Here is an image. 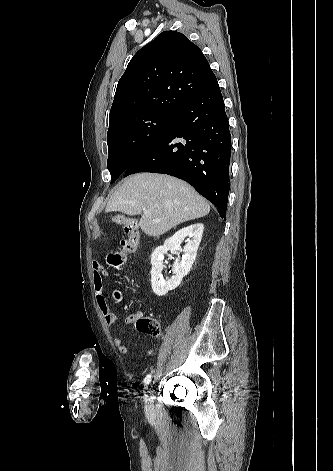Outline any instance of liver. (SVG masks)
I'll return each instance as SVG.
<instances>
[{
    "mask_svg": "<svg viewBox=\"0 0 333 471\" xmlns=\"http://www.w3.org/2000/svg\"><path fill=\"white\" fill-rule=\"evenodd\" d=\"M105 211L141 214V230L156 237L183 222L206 216L210 205L185 181L166 174L139 173L115 190Z\"/></svg>",
    "mask_w": 333,
    "mask_h": 471,
    "instance_id": "6515ba94",
    "label": "liver"
}]
</instances>
